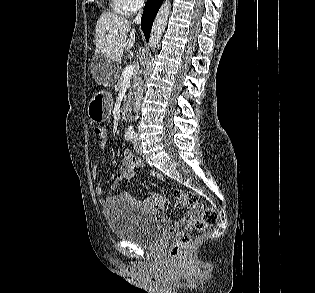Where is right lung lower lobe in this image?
Instances as JSON below:
<instances>
[{
	"instance_id": "98d812e1",
	"label": "right lung lower lobe",
	"mask_w": 315,
	"mask_h": 293,
	"mask_svg": "<svg viewBox=\"0 0 315 293\" xmlns=\"http://www.w3.org/2000/svg\"><path fill=\"white\" fill-rule=\"evenodd\" d=\"M162 2L163 0H148L144 7L141 19V29L143 30L147 41H149L152 24Z\"/></svg>"
}]
</instances>
